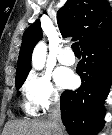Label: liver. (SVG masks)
Here are the masks:
<instances>
[{
  "label": "liver",
  "instance_id": "1",
  "mask_svg": "<svg viewBox=\"0 0 112 135\" xmlns=\"http://www.w3.org/2000/svg\"><path fill=\"white\" fill-rule=\"evenodd\" d=\"M3 135H53L49 121H13L9 122ZM64 135V131H63Z\"/></svg>",
  "mask_w": 112,
  "mask_h": 135
}]
</instances>
